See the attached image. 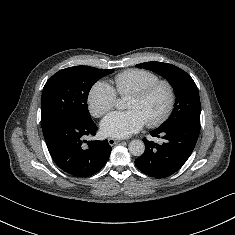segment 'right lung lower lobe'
I'll list each match as a JSON object with an SVG mask.
<instances>
[{"mask_svg": "<svg viewBox=\"0 0 235 235\" xmlns=\"http://www.w3.org/2000/svg\"><path fill=\"white\" fill-rule=\"evenodd\" d=\"M97 129L93 121L62 120L44 131L48 151L57 166L77 177L97 173L106 164L112 150L107 140H83L85 136H94Z\"/></svg>", "mask_w": 235, "mask_h": 235, "instance_id": "right-lung-lower-lobe-1", "label": "right lung lower lobe"}]
</instances>
